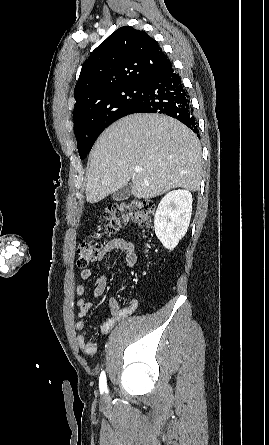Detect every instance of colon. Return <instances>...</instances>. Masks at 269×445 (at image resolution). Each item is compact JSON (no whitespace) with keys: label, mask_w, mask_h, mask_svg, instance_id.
Returning <instances> with one entry per match:
<instances>
[{"label":"colon","mask_w":269,"mask_h":445,"mask_svg":"<svg viewBox=\"0 0 269 445\" xmlns=\"http://www.w3.org/2000/svg\"><path fill=\"white\" fill-rule=\"evenodd\" d=\"M154 204L148 200H129L109 205L102 214L104 234L112 235L123 228L127 223H137L143 229L152 225ZM102 247L95 240H85L77 247V265L85 269L90 263L98 259Z\"/></svg>","instance_id":"1"}]
</instances>
